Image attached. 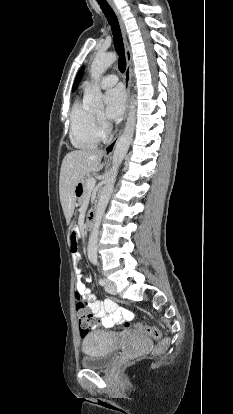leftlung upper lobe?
Returning a JSON list of instances; mask_svg holds the SVG:
<instances>
[{
    "mask_svg": "<svg viewBox=\"0 0 233 414\" xmlns=\"http://www.w3.org/2000/svg\"><path fill=\"white\" fill-rule=\"evenodd\" d=\"M83 70H84V67H82V69L77 74L74 85H73V88H72V91H74L77 88L79 82L81 81V78L83 76Z\"/></svg>",
    "mask_w": 233,
    "mask_h": 414,
    "instance_id": "1",
    "label": "left lung upper lobe"
}]
</instances>
